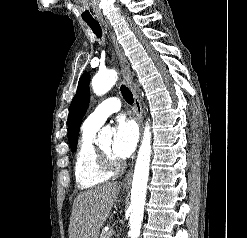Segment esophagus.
<instances>
[{"label":"esophagus","mask_w":247,"mask_h":238,"mask_svg":"<svg viewBox=\"0 0 247 238\" xmlns=\"http://www.w3.org/2000/svg\"><path fill=\"white\" fill-rule=\"evenodd\" d=\"M103 24L105 25L106 29L109 30V35H110L112 44L114 46L117 59L119 61V65H120L121 72L123 75L124 83L132 91V94L134 97V112H135L136 120H137L138 125L140 127V135H141L142 134V106H141L140 99L137 95V92L133 87L132 73L130 71V65H129L122 49L120 48L118 42L116 41L114 33L110 30L109 24L104 22V21H103ZM132 174H133V167L130 168V170L128 171V173L126 174V176L123 179L122 184L124 187L130 186L131 180H132Z\"/></svg>","instance_id":"esophagus-1"}]
</instances>
